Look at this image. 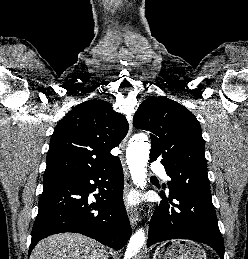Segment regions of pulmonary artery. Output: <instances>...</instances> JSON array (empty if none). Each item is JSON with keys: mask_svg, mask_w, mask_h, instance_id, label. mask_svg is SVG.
Listing matches in <instances>:
<instances>
[{"mask_svg": "<svg viewBox=\"0 0 248 259\" xmlns=\"http://www.w3.org/2000/svg\"><path fill=\"white\" fill-rule=\"evenodd\" d=\"M150 168H151L152 172L163 174V177L165 179H168V177L164 173V167L159 162L152 163Z\"/></svg>", "mask_w": 248, "mask_h": 259, "instance_id": "pulmonary-artery-1", "label": "pulmonary artery"}]
</instances>
